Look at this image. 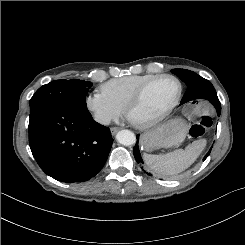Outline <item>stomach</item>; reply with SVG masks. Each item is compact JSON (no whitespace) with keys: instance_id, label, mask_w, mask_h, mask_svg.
<instances>
[{"instance_id":"1","label":"stomach","mask_w":245,"mask_h":245,"mask_svg":"<svg viewBox=\"0 0 245 245\" xmlns=\"http://www.w3.org/2000/svg\"><path fill=\"white\" fill-rule=\"evenodd\" d=\"M187 131L188 127L183 119H174L145 132L141 144L145 151L170 148L183 142Z\"/></svg>"}]
</instances>
